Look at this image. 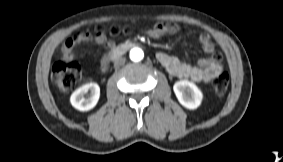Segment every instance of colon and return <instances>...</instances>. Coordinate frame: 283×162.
Listing matches in <instances>:
<instances>
[{"label":"colon","instance_id":"1","mask_svg":"<svg viewBox=\"0 0 283 162\" xmlns=\"http://www.w3.org/2000/svg\"><path fill=\"white\" fill-rule=\"evenodd\" d=\"M97 34L103 33L101 28L96 29ZM122 31L118 27H112L110 33L114 36L120 34ZM81 75V67L78 62L74 60L59 61L53 65L52 78L57 85L63 90L72 89L77 83ZM229 86V75L227 72L221 73L215 78L213 82L214 91L217 94H224Z\"/></svg>","mask_w":283,"mask_h":162}]
</instances>
